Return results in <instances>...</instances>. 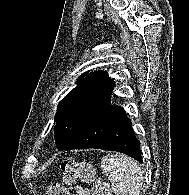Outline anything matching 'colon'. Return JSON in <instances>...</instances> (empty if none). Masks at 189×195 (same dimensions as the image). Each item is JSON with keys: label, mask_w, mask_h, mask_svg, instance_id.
Instances as JSON below:
<instances>
[{"label": "colon", "mask_w": 189, "mask_h": 195, "mask_svg": "<svg viewBox=\"0 0 189 195\" xmlns=\"http://www.w3.org/2000/svg\"><path fill=\"white\" fill-rule=\"evenodd\" d=\"M62 183L49 186L47 195H79L78 182H92V195H109L108 183L100 172L93 173L85 161H64L60 164Z\"/></svg>", "instance_id": "1"}]
</instances>
